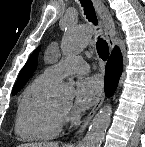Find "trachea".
Wrapping results in <instances>:
<instances>
[{"mask_svg": "<svg viewBox=\"0 0 145 147\" xmlns=\"http://www.w3.org/2000/svg\"><path fill=\"white\" fill-rule=\"evenodd\" d=\"M80 2L84 8V14L86 15V18L90 22L97 24V17L95 14V10H94L92 1L91 0H80ZM96 46H97V53H98L99 57L103 61H106L109 56L108 43L105 40L98 37Z\"/></svg>", "mask_w": 145, "mask_h": 147, "instance_id": "obj_1", "label": "trachea"}]
</instances>
